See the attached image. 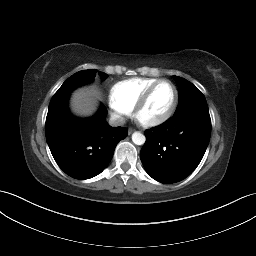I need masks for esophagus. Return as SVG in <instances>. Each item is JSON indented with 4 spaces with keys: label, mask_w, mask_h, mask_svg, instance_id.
I'll list each match as a JSON object with an SVG mask.
<instances>
[{
    "label": "esophagus",
    "mask_w": 256,
    "mask_h": 256,
    "mask_svg": "<svg viewBox=\"0 0 256 256\" xmlns=\"http://www.w3.org/2000/svg\"><path fill=\"white\" fill-rule=\"evenodd\" d=\"M134 132V129L133 128H129L128 129V134L130 135V134H132Z\"/></svg>",
    "instance_id": "esophagus-1"
}]
</instances>
